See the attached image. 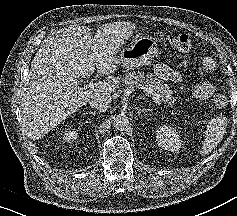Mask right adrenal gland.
<instances>
[{
  "label": "right adrenal gland",
  "mask_w": 237,
  "mask_h": 216,
  "mask_svg": "<svg viewBox=\"0 0 237 216\" xmlns=\"http://www.w3.org/2000/svg\"><path fill=\"white\" fill-rule=\"evenodd\" d=\"M86 114H91V115L95 116L97 114V112L96 111H90V112H88Z\"/></svg>",
  "instance_id": "obj_1"
}]
</instances>
